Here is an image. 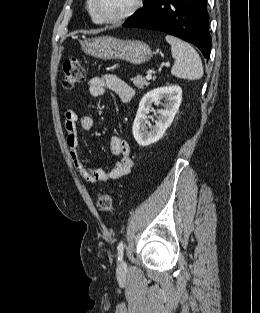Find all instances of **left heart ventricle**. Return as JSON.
<instances>
[{
    "label": "left heart ventricle",
    "mask_w": 260,
    "mask_h": 313,
    "mask_svg": "<svg viewBox=\"0 0 260 313\" xmlns=\"http://www.w3.org/2000/svg\"><path fill=\"white\" fill-rule=\"evenodd\" d=\"M133 0H98V10L104 17H117L127 11Z\"/></svg>",
    "instance_id": "left-heart-ventricle-1"
}]
</instances>
